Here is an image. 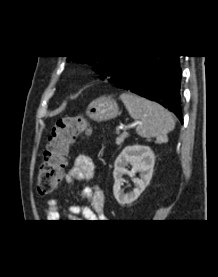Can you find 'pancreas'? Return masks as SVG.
Returning <instances> with one entry per match:
<instances>
[{"instance_id":"obj_1","label":"pancreas","mask_w":218,"mask_h":277,"mask_svg":"<svg viewBox=\"0 0 218 277\" xmlns=\"http://www.w3.org/2000/svg\"><path fill=\"white\" fill-rule=\"evenodd\" d=\"M128 136L127 132L122 133L120 136L116 138V144L121 145L124 142V139Z\"/></svg>"}]
</instances>
